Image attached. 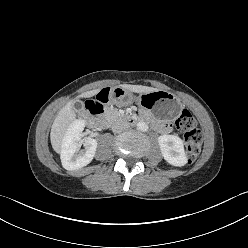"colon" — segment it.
<instances>
[{"instance_id": "colon-1", "label": "colon", "mask_w": 248, "mask_h": 248, "mask_svg": "<svg viewBox=\"0 0 248 248\" xmlns=\"http://www.w3.org/2000/svg\"><path fill=\"white\" fill-rule=\"evenodd\" d=\"M176 127L184 134L187 162L192 163L200 153L202 135L190 111L183 110L181 112L176 120Z\"/></svg>"}]
</instances>
